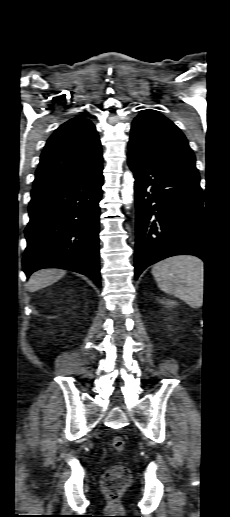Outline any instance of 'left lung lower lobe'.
I'll use <instances>...</instances> for the list:
<instances>
[{
    "instance_id": "obj_1",
    "label": "left lung lower lobe",
    "mask_w": 230,
    "mask_h": 517,
    "mask_svg": "<svg viewBox=\"0 0 230 517\" xmlns=\"http://www.w3.org/2000/svg\"><path fill=\"white\" fill-rule=\"evenodd\" d=\"M128 164L135 178V278L149 265L174 255H195L206 262L199 174L130 152Z\"/></svg>"
}]
</instances>
